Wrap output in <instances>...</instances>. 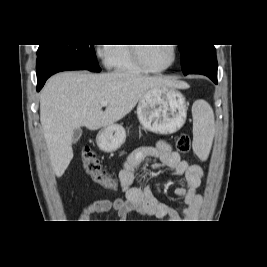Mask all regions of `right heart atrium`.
Returning <instances> with one entry per match:
<instances>
[{
	"label": "right heart atrium",
	"mask_w": 267,
	"mask_h": 267,
	"mask_svg": "<svg viewBox=\"0 0 267 267\" xmlns=\"http://www.w3.org/2000/svg\"><path fill=\"white\" fill-rule=\"evenodd\" d=\"M110 52L111 50L108 44H101V45H97L96 47L97 57L100 58L106 65H109Z\"/></svg>",
	"instance_id": "obj_1"
}]
</instances>
